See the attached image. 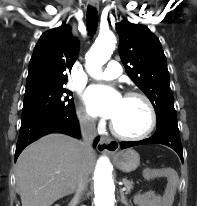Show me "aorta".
Masks as SVG:
<instances>
[{"label": "aorta", "mask_w": 197, "mask_h": 206, "mask_svg": "<svg viewBox=\"0 0 197 206\" xmlns=\"http://www.w3.org/2000/svg\"><path fill=\"white\" fill-rule=\"evenodd\" d=\"M115 44L116 38L112 32H101L99 34L86 54L85 67L90 75L98 76L101 73V68L110 59ZM111 172L109 159L105 156L100 157L94 174L95 206H114L116 203L115 185Z\"/></svg>", "instance_id": "1"}]
</instances>
